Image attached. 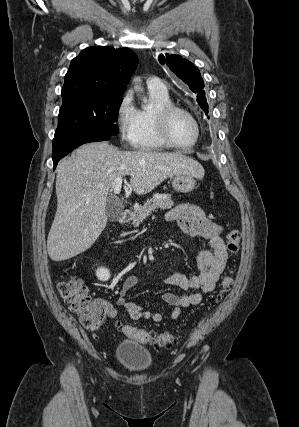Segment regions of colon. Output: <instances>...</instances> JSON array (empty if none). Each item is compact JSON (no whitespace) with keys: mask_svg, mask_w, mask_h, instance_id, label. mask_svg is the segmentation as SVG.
I'll return each instance as SVG.
<instances>
[{"mask_svg":"<svg viewBox=\"0 0 299 427\" xmlns=\"http://www.w3.org/2000/svg\"><path fill=\"white\" fill-rule=\"evenodd\" d=\"M227 249L231 254L238 253L240 249V235L237 230H231L227 234ZM232 285L230 271L222 278L217 296L212 304L218 303L227 297ZM58 291L70 309L79 315L83 326L95 331L100 328L105 311L100 304L93 301L84 282L75 276L65 274L57 284ZM121 331L141 343H151L159 348H167L177 342V338L169 333L158 334L153 331H145L127 323H119Z\"/></svg>","mask_w":299,"mask_h":427,"instance_id":"5ec220e1","label":"colon"}]
</instances>
